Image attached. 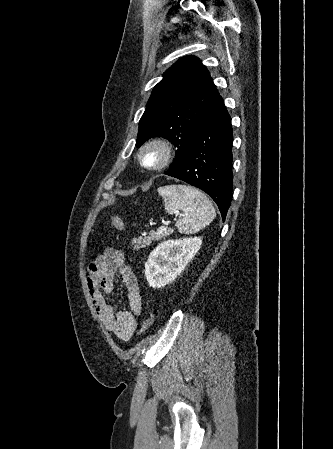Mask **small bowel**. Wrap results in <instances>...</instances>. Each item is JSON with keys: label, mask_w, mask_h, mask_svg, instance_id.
Returning a JSON list of instances; mask_svg holds the SVG:
<instances>
[{"label": "small bowel", "mask_w": 333, "mask_h": 449, "mask_svg": "<svg viewBox=\"0 0 333 449\" xmlns=\"http://www.w3.org/2000/svg\"><path fill=\"white\" fill-rule=\"evenodd\" d=\"M116 275L125 287L128 309L116 310L106 298L114 290ZM87 286L94 309L106 329L123 341L132 338L142 309V296L137 277L123 253L107 248L96 257L87 267Z\"/></svg>", "instance_id": "obj_1"}]
</instances>
